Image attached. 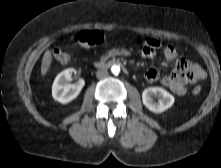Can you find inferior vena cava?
I'll return each instance as SVG.
<instances>
[{
    "mask_svg": "<svg viewBox=\"0 0 221 168\" xmlns=\"http://www.w3.org/2000/svg\"><path fill=\"white\" fill-rule=\"evenodd\" d=\"M108 76V71L106 69H99L96 72V77L99 79L105 78Z\"/></svg>",
    "mask_w": 221,
    "mask_h": 168,
    "instance_id": "inferior-vena-cava-1",
    "label": "inferior vena cava"
}]
</instances>
